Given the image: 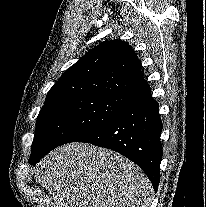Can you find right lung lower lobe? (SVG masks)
<instances>
[{
	"label": "right lung lower lobe",
	"instance_id": "right-lung-lower-lobe-1",
	"mask_svg": "<svg viewBox=\"0 0 206 207\" xmlns=\"http://www.w3.org/2000/svg\"><path fill=\"white\" fill-rule=\"evenodd\" d=\"M123 110L100 127L90 131L77 142L91 143L119 152L135 162L148 176L154 190L160 181L162 121L157 102L147 81H142L127 94ZM45 154L29 159L37 163Z\"/></svg>",
	"mask_w": 206,
	"mask_h": 207
}]
</instances>
